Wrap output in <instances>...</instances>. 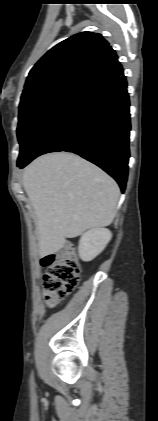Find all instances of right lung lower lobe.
Listing matches in <instances>:
<instances>
[{
	"label": "right lung lower lobe",
	"instance_id": "obj_1",
	"mask_svg": "<svg viewBox=\"0 0 158 421\" xmlns=\"http://www.w3.org/2000/svg\"><path fill=\"white\" fill-rule=\"evenodd\" d=\"M130 113L127 82L118 60L77 90L42 130L23 168L36 157L73 152L96 164L124 192L129 160Z\"/></svg>",
	"mask_w": 158,
	"mask_h": 421
}]
</instances>
